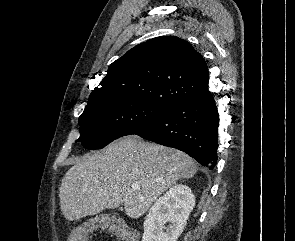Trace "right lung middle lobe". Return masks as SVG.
I'll return each mask as SVG.
<instances>
[{
  "mask_svg": "<svg viewBox=\"0 0 295 241\" xmlns=\"http://www.w3.org/2000/svg\"><path fill=\"white\" fill-rule=\"evenodd\" d=\"M163 110L113 92L90 95L88 105L79 117L81 136L78 141L87 149H101L154 119Z\"/></svg>",
  "mask_w": 295,
  "mask_h": 241,
  "instance_id": "dd1d6c3e",
  "label": "right lung middle lobe"
}]
</instances>
